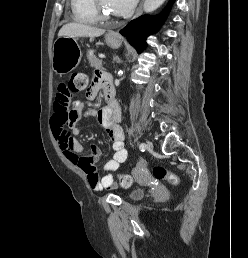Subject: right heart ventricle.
Wrapping results in <instances>:
<instances>
[{
	"label": "right heart ventricle",
	"instance_id": "right-heart-ventricle-1",
	"mask_svg": "<svg viewBox=\"0 0 248 258\" xmlns=\"http://www.w3.org/2000/svg\"><path fill=\"white\" fill-rule=\"evenodd\" d=\"M73 19L83 24H94L97 17L93 7V0H70Z\"/></svg>",
	"mask_w": 248,
	"mask_h": 258
}]
</instances>
